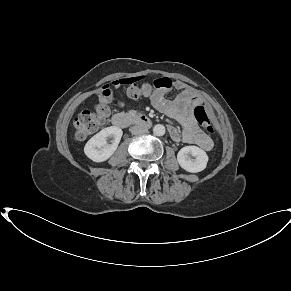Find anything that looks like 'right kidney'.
Here are the masks:
<instances>
[{
	"mask_svg": "<svg viewBox=\"0 0 291 291\" xmlns=\"http://www.w3.org/2000/svg\"><path fill=\"white\" fill-rule=\"evenodd\" d=\"M122 135V130L117 126L102 129L86 143L85 155L98 163L108 160L117 149ZM108 138L112 139L111 144H108Z\"/></svg>",
	"mask_w": 291,
	"mask_h": 291,
	"instance_id": "1",
	"label": "right kidney"
}]
</instances>
